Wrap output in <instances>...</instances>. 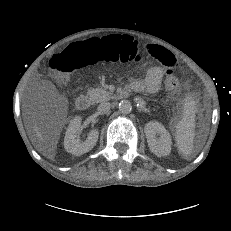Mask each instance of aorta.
<instances>
[{
	"mask_svg": "<svg viewBox=\"0 0 231 231\" xmlns=\"http://www.w3.org/2000/svg\"><path fill=\"white\" fill-rule=\"evenodd\" d=\"M119 110L123 113V114H129L132 111V105L131 102L128 100H122L119 103Z\"/></svg>",
	"mask_w": 231,
	"mask_h": 231,
	"instance_id": "obj_1",
	"label": "aorta"
}]
</instances>
